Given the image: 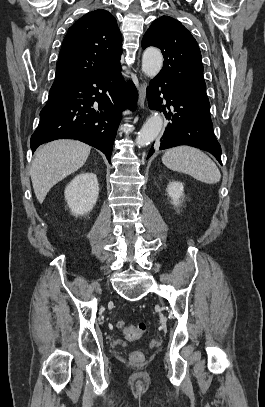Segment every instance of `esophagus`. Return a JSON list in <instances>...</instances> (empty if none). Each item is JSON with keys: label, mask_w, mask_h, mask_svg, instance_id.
<instances>
[{"label": "esophagus", "mask_w": 265, "mask_h": 407, "mask_svg": "<svg viewBox=\"0 0 265 407\" xmlns=\"http://www.w3.org/2000/svg\"><path fill=\"white\" fill-rule=\"evenodd\" d=\"M139 97H140V106H144L145 97H146V82H142L139 87Z\"/></svg>", "instance_id": "obj_1"}]
</instances>
